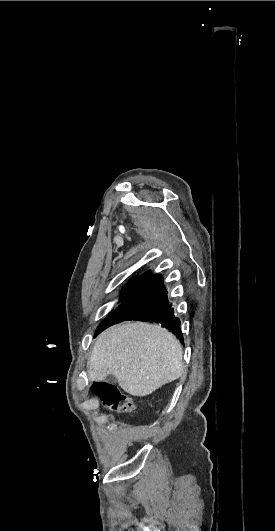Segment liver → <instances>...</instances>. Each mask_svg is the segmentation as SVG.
<instances>
[{
	"label": "liver",
	"instance_id": "liver-1",
	"mask_svg": "<svg viewBox=\"0 0 275 531\" xmlns=\"http://www.w3.org/2000/svg\"><path fill=\"white\" fill-rule=\"evenodd\" d=\"M88 369L89 381L114 375L125 393L146 397L183 375L182 349L176 337L158 325H114L99 335Z\"/></svg>",
	"mask_w": 275,
	"mask_h": 531
}]
</instances>
